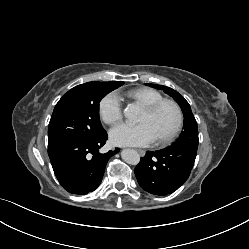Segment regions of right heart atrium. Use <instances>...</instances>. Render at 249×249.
I'll return each mask as SVG.
<instances>
[{"instance_id": "d8ad5b80", "label": "right heart atrium", "mask_w": 249, "mask_h": 249, "mask_svg": "<svg viewBox=\"0 0 249 249\" xmlns=\"http://www.w3.org/2000/svg\"><path fill=\"white\" fill-rule=\"evenodd\" d=\"M99 115L108 125L118 123L122 118V105L117 94L109 93L99 103Z\"/></svg>"}]
</instances>
